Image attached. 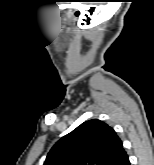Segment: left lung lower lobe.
Instances as JSON below:
<instances>
[{"label": "left lung lower lobe", "mask_w": 154, "mask_h": 165, "mask_svg": "<svg viewBox=\"0 0 154 165\" xmlns=\"http://www.w3.org/2000/svg\"><path fill=\"white\" fill-rule=\"evenodd\" d=\"M117 165H130L128 156L124 150L121 153V158H120L119 162L117 163Z\"/></svg>", "instance_id": "0a47b994"}]
</instances>
